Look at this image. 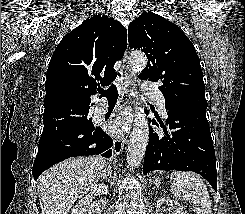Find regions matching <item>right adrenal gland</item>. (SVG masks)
<instances>
[{
  "label": "right adrenal gland",
  "instance_id": "right-adrenal-gland-1",
  "mask_svg": "<svg viewBox=\"0 0 245 214\" xmlns=\"http://www.w3.org/2000/svg\"><path fill=\"white\" fill-rule=\"evenodd\" d=\"M107 177H109V180H108V181L111 183V186H112L113 180H112V174H111V167H110V165L107 166V173H106V175L103 177V179H105V178H107Z\"/></svg>",
  "mask_w": 245,
  "mask_h": 214
}]
</instances>
